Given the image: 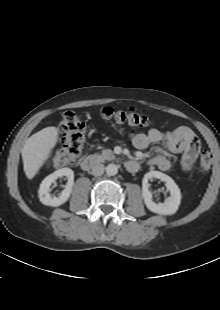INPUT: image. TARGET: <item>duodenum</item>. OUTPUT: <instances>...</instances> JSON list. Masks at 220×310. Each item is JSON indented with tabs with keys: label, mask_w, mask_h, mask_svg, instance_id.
Returning a JSON list of instances; mask_svg holds the SVG:
<instances>
[{
	"label": "duodenum",
	"mask_w": 220,
	"mask_h": 310,
	"mask_svg": "<svg viewBox=\"0 0 220 310\" xmlns=\"http://www.w3.org/2000/svg\"><path fill=\"white\" fill-rule=\"evenodd\" d=\"M100 163V159L97 156H87L81 161V168L84 171H91L96 168ZM126 168L130 172H135L139 168V164L135 160H128L126 162Z\"/></svg>",
	"instance_id": "410a0bca"
}]
</instances>
